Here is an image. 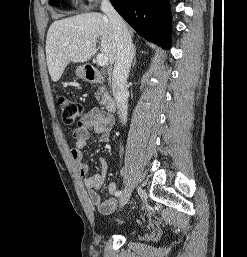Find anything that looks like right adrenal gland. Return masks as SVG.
I'll use <instances>...</instances> for the list:
<instances>
[{"mask_svg": "<svg viewBox=\"0 0 247 257\" xmlns=\"http://www.w3.org/2000/svg\"><path fill=\"white\" fill-rule=\"evenodd\" d=\"M135 51H136V48H135V46H134V55H133V62H132V66H133V67H134L135 64H136Z\"/></svg>", "mask_w": 247, "mask_h": 257, "instance_id": "2a0ac1e0", "label": "right adrenal gland"}]
</instances>
